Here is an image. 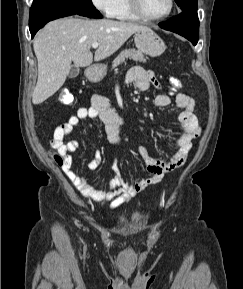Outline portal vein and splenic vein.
<instances>
[{"instance_id": "obj_1", "label": "portal vein and splenic vein", "mask_w": 243, "mask_h": 289, "mask_svg": "<svg viewBox=\"0 0 243 289\" xmlns=\"http://www.w3.org/2000/svg\"><path fill=\"white\" fill-rule=\"evenodd\" d=\"M98 46H99V43H98V42L92 43V48L96 49Z\"/></svg>"}]
</instances>
